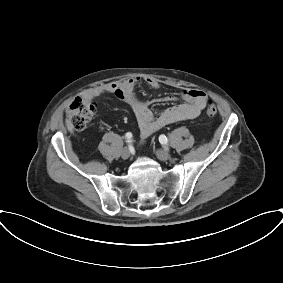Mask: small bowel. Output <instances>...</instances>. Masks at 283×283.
<instances>
[{"instance_id":"small-bowel-1","label":"small bowel","mask_w":283,"mask_h":283,"mask_svg":"<svg viewBox=\"0 0 283 283\" xmlns=\"http://www.w3.org/2000/svg\"><path fill=\"white\" fill-rule=\"evenodd\" d=\"M139 81L140 78L133 77L122 81L109 82L84 91L82 96L93 99L94 97L112 94L126 103L136 116L142 144L152 133L169 124L196 118L204 109L208 100L206 93L201 90H186L181 96L183 102L166 108L155 116L150 109L151 104L157 101H175L177 98L167 96L162 99H141L134 92ZM146 84L153 89L160 87L159 82L154 78L146 79Z\"/></svg>"}]
</instances>
